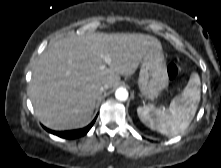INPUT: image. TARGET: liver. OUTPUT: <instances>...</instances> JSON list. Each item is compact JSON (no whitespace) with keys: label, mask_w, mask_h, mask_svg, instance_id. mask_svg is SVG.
<instances>
[{"label":"liver","mask_w":221,"mask_h":168,"mask_svg":"<svg viewBox=\"0 0 221 168\" xmlns=\"http://www.w3.org/2000/svg\"><path fill=\"white\" fill-rule=\"evenodd\" d=\"M162 51L161 42L137 33H90L60 39L37 60L29 86L35 115L53 130L86 126L104 84L112 88L120 75L135 73L143 57ZM109 54V68L101 69Z\"/></svg>","instance_id":"1"}]
</instances>
